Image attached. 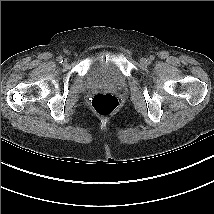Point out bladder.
<instances>
[{
  "label": "bladder",
  "mask_w": 214,
  "mask_h": 214,
  "mask_svg": "<svg viewBox=\"0 0 214 214\" xmlns=\"http://www.w3.org/2000/svg\"><path fill=\"white\" fill-rule=\"evenodd\" d=\"M83 83L85 88L98 85L121 88L125 83V78L114 64H94L87 71Z\"/></svg>",
  "instance_id": "31cf9c89"
}]
</instances>
